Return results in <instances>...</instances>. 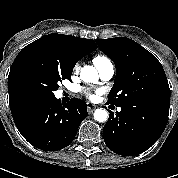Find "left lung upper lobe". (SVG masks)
Instances as JSON below:
<instances>
[{
    "instance_id": "5c2ea615",
    "label": "left lung upper lobe",
    "mask_w": 178,
    "mask_h": 178,
    "mask_svg": "<svg viewBox=\"0 0 178 178\" xmlns=\"http://www.w3.org/2000/svg\"><path fill=\"white\" fill-rule=\"evenodd\" d=\"M96 43L116 66L108 103L168 118L170 88L157 58L126 37L97 39Z\"/></svg>"
}]
</instances>
